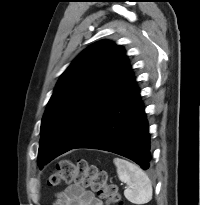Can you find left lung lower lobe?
<instances>
[{
    "label": "left lung lower lobe",
    "instance_id": "obj_1",
    "mask_svg": "<svg viewBox=\"0 0 200 205\" xmlns=\"http://www.w3.org/2000/svg\"><path fill=\"white\" fill-rule=\"evenodd\" d=\"M139 92L130 68L110 105L74 148L113 152L133 160L143 170H148L151 155L150 138Z\"/></svg>",
    "mask_w": 200,
    "mask_h": 205
}]
</instances>
